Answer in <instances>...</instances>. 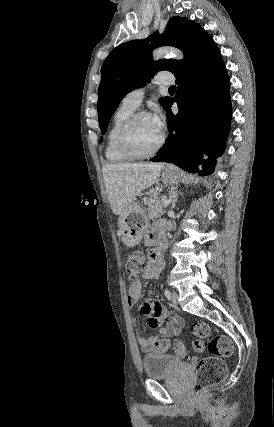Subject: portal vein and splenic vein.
Segmentation results:
<instances>
[{"instance_id": "1", "label": "portal vein and splenic vein", "mask_w": 274, "mask_h": 427, "mask_svg": "<svg viewBox=\"0 0 274 427\" xmlns=\"http://www.w3.org/2000/svg\"><path fill=\"white\" fill-rule=\"evenodd\" d=\"M169 202H166L165 200V204H164V208H166V206H168Z\"/></svg>"}]
</instances>
